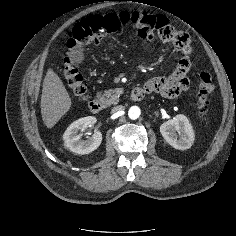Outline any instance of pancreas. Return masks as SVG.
I'll return each mask as SVG.
<instances>
[{
    "label": "pancreas",
    "mask_w": 236,
    "mask_h": 236,
    "mask_svg": "<svg viewBox=\"0 0 236 236\" xmlns=\"http://www.w3.org/2000/svg\"><path fill=\"white\" fill-rule=\"evenodd\" d=\"M123 93V88H115L105 90L103 93L97 95L98 99L105 103L107 106L116 104L119 101L120 95Z\"/></svg>",
    "instance_id": "pancreas-1"
}]
</instances>
